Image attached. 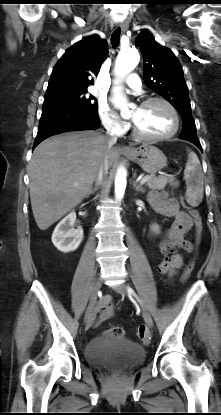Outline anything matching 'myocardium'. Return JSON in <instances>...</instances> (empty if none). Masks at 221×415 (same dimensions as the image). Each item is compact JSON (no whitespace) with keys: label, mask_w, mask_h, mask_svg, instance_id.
<instances>
[{"label":"myocardium","mask_w":221,"mask_h":415,"mask_svg":"<svg viewBox=\"0 0 221 415\" xmlns=\"http://www.w3.org/2000/svg\"><path fill=\"white\" fill-rule=\"evenodd\" d=\"M154 102H159V103L164 104L169 109V111L171 112L172 117H173V121H174V125H173L172 130L170 132L164 134V135H158V136L148 135V134L143 133L133 121V123H132L133 134L137 138L142 139V140H146V141H164V140H168V139L174 137L177 134V132L179 131V128H180L179 113H178L177 109L175 108V106L170 101H168L167 99L162 98V97L147 98V99H145L144 101L141 102L140 106H146V105H149V104L154 103Z\"/></svg>","instance_id":"obj_1"}]
</instances>
